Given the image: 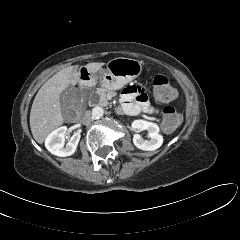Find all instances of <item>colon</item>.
<instances>
[{"instance_id":"1","label":"colon","mask_w":240,"mask_h":240,"mask_svg":"<svg viewBox=\"0 0 240 240\" xmlns=\"http://www.w3.org/2000/svg\"><path fill=\"white\" fill-rule=\"evenodd\" d=\"M154 97L168 103L177 97V89L164 75H156L152 79ZM181 123V115L173 107H165L162 117V128L166 132L174 131Z\"/></svg>"}]
</instances>
